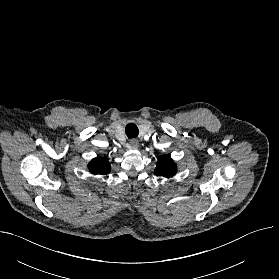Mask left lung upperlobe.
I'll list each match as a JSON object with an SVG mask.
<instances>
[{
  "label": "left lung upper lobe",
  "mask_w": 279,
  "mask_h": 279,
  "mask_svg": "<svg viewBox=\"0 0 279 279\" xmlns=\"http://www.w3.org/2000/svg\"><path fill=\"white\" fill-rule=\"evenodd\" d=\"M176 165L171 159L170 155L161 156L155 168L157 176L172 177L176 173Z\"/></svg>",
  "instance_id": "1"
}]
</instances>
